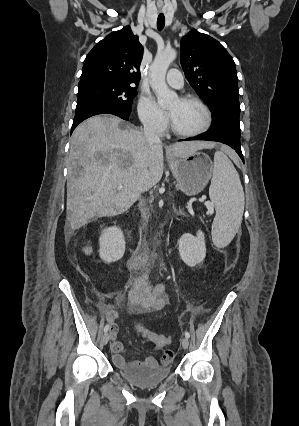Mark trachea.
I'll list each match as a JSON object with an SVG mask.
<instances>
[{"label":"trachea","mask_w":299,"mask_h":426,"mask_svg":"<svg viewBox=\"0 0 299 426\" xmlns=\"http://www.w3.org/2000/svg\"><path fill=\"white\" fill-rule=\"evenodd\" d=\"M164 25H165V17H164V14L161 13L158 15V19H157L158 30H162L164 28Z\"/></svg>","instance_id":"1"}]
</instances>
